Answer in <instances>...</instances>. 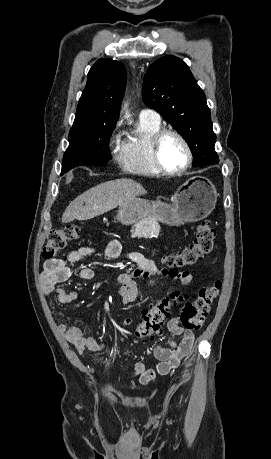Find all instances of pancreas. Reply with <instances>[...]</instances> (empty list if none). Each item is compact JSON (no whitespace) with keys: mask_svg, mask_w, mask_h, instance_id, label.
I'll return each mask as SVG.
<instances>
[{"mask_svg":"<svg viewBox=\"0 0 271 459\" xmlns=\"http://www.w3.org/2000/svg\"><path fill=\"white\" fill-rule=\"evenodd\" d=\"M160 231V226L158 222H155L154 218L144 221L143 226H137L136 231L133 233L135 238L142 239H153L157 236V233Z\"/></svg>","mask_w":271,"mask_h":459,"instance_id":"cf45deb5","label":"pancreas"}]
</instances>
